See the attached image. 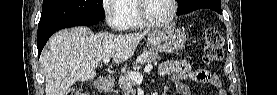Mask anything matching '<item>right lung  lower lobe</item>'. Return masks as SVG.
<instances>
[{
    "instance_id": "1",
    "label": "right lung lower lobe",
    "mask_w": 277,
    "mask_h": 95,
    "mask_svg": "<svg viewBox=\"0 0 277 95\" xmlns=\"http://www.w3.org/2000/svg\"><path fill=\"white\" fill-rule=\"evenodd\" d=\"M99 21H87L82 23H55L48 26H44L38 28V57L41 54V51L48 41L49 37L56 31L67 28V27H74V26H82V25H94L97 24Z\"/></svg>"
}]
</instances>
